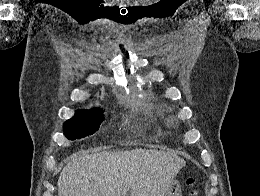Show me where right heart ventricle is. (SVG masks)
<instances>
[{
  "mask_svg": "<svg viewBox=\"0 0 260 196\" xmlns=\"http://www.w3.org/2000/svg\"><path fill=\"white\" fill-rule=\"evenodd\" d=\"M115 192H127V190H116Z\"/></svg>",
  "mask_w": 260,
  "mask_h": 196,
  "instance_id": "1",
  "label": "right heart ventricle"
}]
</instances>
